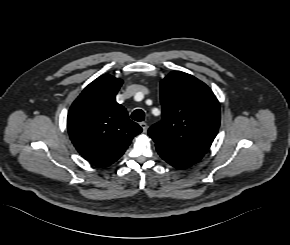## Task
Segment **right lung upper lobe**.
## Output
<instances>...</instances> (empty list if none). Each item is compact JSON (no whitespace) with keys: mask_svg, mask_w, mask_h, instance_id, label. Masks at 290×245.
Returning a JSON list of instances; mask_svg holds the SVG:
<instances>
[{"mask_svg":"<svg viewBox=\"0 0 290 245\" xmlns=\"http://www.w3.org/2000/svg\"><path fill=\"white\" fill-rule=\"evenodd\" d=\"M122 80L104 74L91 82L68 112L67 128L77 151L89 162L108 166L118 160L142 128L115 96Z\"/></svg>","mask_w":290,"mask_h":245,"instance_id":"obj_1","label":"right lung upper lobe"}]
</instances>
